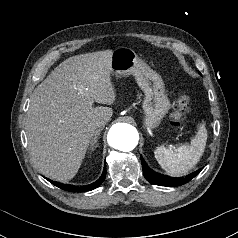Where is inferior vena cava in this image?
<instances>
[{"label": "inferior vena cava", "instance_id": "602c4592", "mask_svg": "<svg viewBox=\"0 0 238 238\" xmlns=\"http://www.w3.org/2000/svg\"><path fill=\"white\" fill-rule=\"evenodd\" d=\"M107 122H108L107 120L102 119V120L97 122V127L98 128L104 127Z\"/></svg>", "mask_w": 238, "mask_h": 238}]
</instances>
